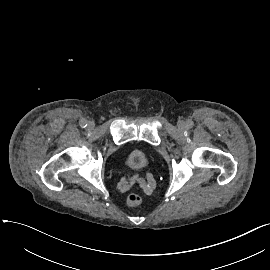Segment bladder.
<instances>
[{"instance_id":"obj_1","label":"bladder","mask_w":270,"mask_h":270,"mask_svg":"<svg viewBox=\"0 0 270 270\" xmlns=\"http://www.w3.org/2000/svg\"><path fill=\"white\" fill-rule=\"evenodd\" d=\"M150 153L144 150L136 149L132 152V154L128 157V167L132 170L142 169L146 162L147 158L144 155H149Z\"/></svg>"}]
</instances>
